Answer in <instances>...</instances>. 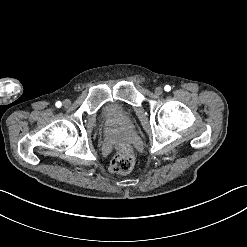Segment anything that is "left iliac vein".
<instances>
[{
    "mask_svg": "<svg viewBox=\"0 0 247 247\" xmlns=\"http://www.w3.org/2000/svg\"><path fill=\"white\" fill-rule=\"evenodd\" d=\"M154 92H155L156 95L159 96V95H161L163 93V88L158 86V87L155 88Z\"/></svg>",
    "mask_w": 247,
    "mask_h": 247,
    "instance_id": "obj_1",
    "label": "left iliac vein"
}]
</instances>
